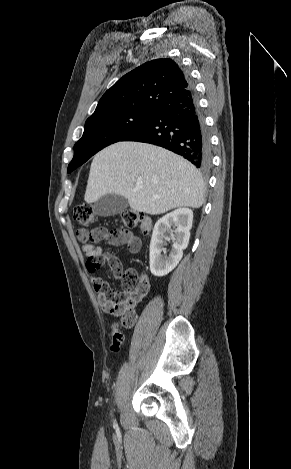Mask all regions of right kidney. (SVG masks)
<instances>
[{
  "instance_id": "1",
  "label": "right kidney",
  "mask_w": 291,
  "mask_h": 469,
  "mask_svg": "<svg viewBox=\"0 0 291 469\" xmlns=\"http://www.w3.org/2000/svg\"><path fill=\"white\" fill-rule=\"evenodd\" d=\"M192 223L193 212L188 208H179L156 222L150 242V271L154 276L163 277L177 266L188 246ZM171 227L175 228V234L171 233L174 238L172 251L163 256L165 234L171 232Z\"/></svg>"
}]
</instances>
